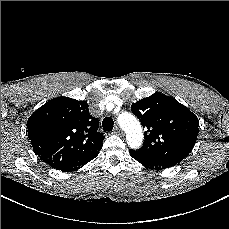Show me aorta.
Wrapping results in <instances>:
<instances>
[{
  "instance_id": "1",
  "label": "aorta",
  "mask_w": 229,
  "mask_h": 229,
  "mask_svg": "<svg viewBox=\"0 0 229 229\" xmlns=\"http://www.w3.org/2000/svg\"><path fill=\"white\" fill-rule=\"evenodd\" d=\"M117 121L126 130L127 144L133 149L139 148L142 144L143 133L137 119L132 114L123 112L118 116Z\"/></svg>"
}]
</instances>
